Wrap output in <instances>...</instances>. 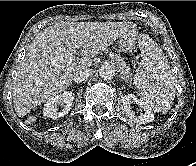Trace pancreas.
<instances>
[{"instance_id":"pancreas-1","label":"pancreas","mask_w":196,"mask_h":166,"mask_svg":"<svg viewBox=\"0 0 196 166\" xmlns=\"http://www.w3.org/2000/svg\"><path fill=\"white\" fill-rule=\"evenodd\" d=\"M114 62L120 68V70L122 71L123 75H125L126 77H131V73L129 71V67L126 66L124 61H122L121 59L115 58Z\"/></svg>"}]
</instances>
